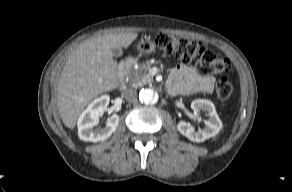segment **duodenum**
<instances>
[{
    "instance_id": "obj_1",
    "label": "duodenum",
    "mask_w": 292,
    "mask_h": 192,
    "mask_svg": "<svg viewBox=\"0 0 292 192\" xmlns=\"http://www.w3.org/2000/svg\"><path fill=\"white\" fill-rule=\"evenodd\" d=\"M133 61L131 59H126L119 64L118 67V77L120 79L124 78L129 68L132 66Z\"/></svg>"
}]
</instances>
